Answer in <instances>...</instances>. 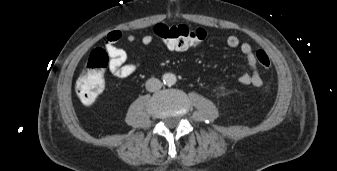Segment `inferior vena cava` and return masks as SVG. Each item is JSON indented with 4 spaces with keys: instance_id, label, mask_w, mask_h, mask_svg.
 <instances>
[{
    "instance_id": "602c4592",
    "label": "inferior vena cava",
    "mask_w": 337,
    "mask_h": 171,
    "mask_svg": "<svg viewBox=\"0 0 337 171\" xmlns=\"http://www.w3.org/2000/svg\"><path fill=\"white\" fill-rule=\"evenodd\" d=\"M162 87V83L157 78H150L146 81V89L150 92H155Z\"/></svg>"
}]
</instances>
